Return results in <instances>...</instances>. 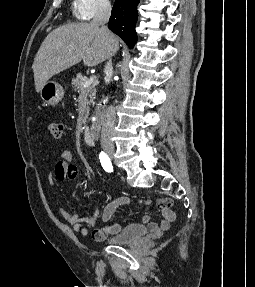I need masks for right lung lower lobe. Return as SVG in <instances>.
I'll use <instances>...</instances> for the list:
<instances>
[{
    "label": "right lung lower lobe",
    "mask_w": 255,
    "mask_h": 287,
    "mask_svg": "<svg viewBox=\"0 0 255 287\" xmlns=\"http://www.w3.org/2000/svg\"><path fill=\"white\" fill-rule=\"evenodd\" d=\"M139 2L140 0H116L108 22V28L120 36L129 48H133L137 42L135 24Z\"/></svg>",
    "instance_id": "obj_1"
}]
</instances>
